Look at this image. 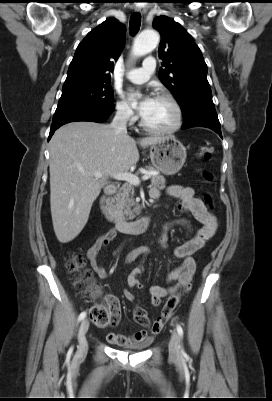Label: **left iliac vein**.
<instances>
[{
    "instance_id": "4c4485c4",
    "label": "left iliac vein",
    "mask_w": 272,
    "mask_h": 401,
    "mask_svg": "<svg viewBox=\"0 0 272 401\" xmlns=\"http://www.w3.org/2000/svg\"><path fill=\"white\" fill-rule=\"evenodd\" d=\"M179 335L176 331H172L171 339L169 342V354L171 358H179L180 349H179Z\"/></svg>"
}]
</instances>
